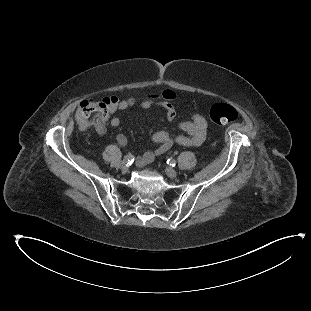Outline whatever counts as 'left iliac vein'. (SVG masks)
Returning a JSON list of instances; mask_svg holds the SVG:
<instances>
[{
  "mask_svg": "<svg viewBox=\"0 0 311 311\" xmlns=\"http://www.w3.org/2000/svg\"><path fill=\"white\" fill-rule=\"evenodd\" d=\"M165 172H166L167 176L170 178H175L177 176V172L171 167L166 168Z\"/></svg>",
  "mask_w": 311,
  "mask_h": 311,
  "instance_id": "4c4485c4",
  "label": "left iliac vein"
}]
</instances>
